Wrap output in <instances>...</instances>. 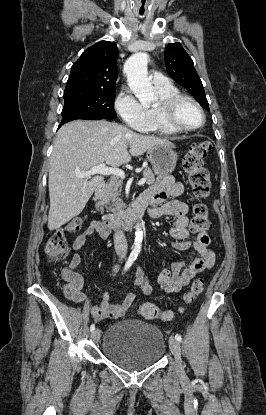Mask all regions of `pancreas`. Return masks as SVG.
I'll use <instances>...</instances> for the list:
<instances>
[{
    "label": "pancreas",
    "instance_id": "obj_1",
    "mask_svg": "<svg viewBox=\"0 0 266 415\" xmlns=\"http://www.w3.org/2000/svg\"><path fill=\"white\" fill-rule=\"evenodd\" d=\"M143 176L146 178V184L152 185L155 182V176L149 167H146L143 171ZM123 180L119 177H112L110 182L96 197L98 202L96 203L97 210L101 213L106 212H121L125 207L122 199L120 198L122 191Z\"/></svg>",
    "mask_w": 266,
    "mask_h": 415
}]
</instances>
